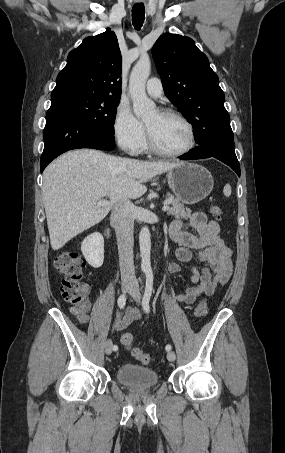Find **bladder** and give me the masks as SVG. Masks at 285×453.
<instances>
[{"instance_id": "31cf9c89", "label": "bladder", "mask_w": 285, "mask_h": 453, "mask_svg": "<svg viewBox=\"0 0 285 453\" xmlns=\"http://www.w3.org/2000/svg\"><path fill=\"white\" fill-rule=\"evenodd\" d=\"M115 377L121 384L136 389L152 388L159 383V376L155 370L135 364L118 366Z\"/></svg>"}]
</instances>
